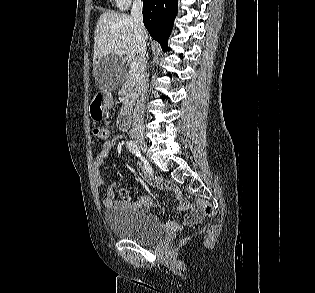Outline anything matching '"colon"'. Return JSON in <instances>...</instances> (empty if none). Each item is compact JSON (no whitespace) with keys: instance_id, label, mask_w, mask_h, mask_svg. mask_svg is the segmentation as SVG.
<instances>
[{"instance_id":"obj_1","label":"colon","mask_w":315,"mask_h":293,"mask_svg":"<svg viewBox=\"0 0 315 293\" xmlns=\"http://www.w3.org/2000/svg\"><path fill=\"white\" fill-rule=\"evenodd\" d=\"M93 134H94L95 138L98 140H105L108 137L107 129L104 127H101V126L95 127L93 129ZM199 208H200L201 212L206 216L212 215L213 211H214L212 205L208 202H200Z\"/></svg>"}]
</instances>
